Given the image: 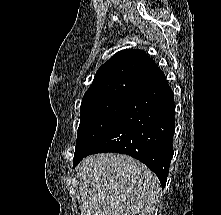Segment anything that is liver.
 Returning a JSON list of instances; mask_svg holds the SVG:
<instances>
[{
  "label": "liver",
  "instance_id": "obj_1",
  "mask_svg": "<svg viewBox=\"0 0 221 215\" xmlns=\"http://www.w3.org/2000/svg\"><path fill=\"white\" fill-rule=\"evenodd\" d=\"M83 215H152L161 191L158 178L140 161L104 153L77 167Z\"/></svg>",
  "mask_w": 221,
  "mask_h": 215
}]
</instances>
